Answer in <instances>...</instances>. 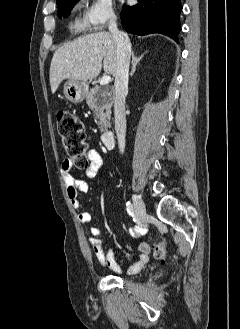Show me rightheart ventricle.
Masks as SVG:
<instances>
[{
  "mask_svg": "<svg viewBox=\"0 0 240 329\" xmlns=\"http://www.w3.org/2000/svg\"><path fill=\"white\" fill-rule=\"evenodd\" d=\"M85 24L84 22H81L79 19H75L74 22L72 23V28L76 30H82L84 29Z\"/></svg>",
  "mask_w": 240,
  "mask_h": 329,
  "instance_id": "1",
  "label": "right heart ventricle"
}]
</instances>
